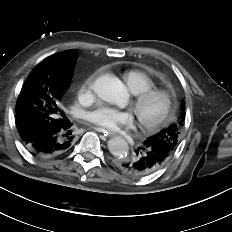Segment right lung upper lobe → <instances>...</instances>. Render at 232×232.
<instances>
[{
    "instance_id": "1",
    "label": "right lung upper lobe",
    "mask_w": 232,
    "mask_h": 232,
    "mask_svg": "<svg viewBox=\"0 0 232 232\" xmlns=\"http://www.w3.org/2000/svg\"><path fill=\"white\" fill-rule=\"evenodd\" d=\"M76 58H77V53L74 50H71V51H67V52H62V53L54 54V55L46 58L40 64L41 65L51 64L53 66H55V65L56 66H60L66 60V61L72 63V67H73V62L76 60ZM72 73H73V68H72Z\"/></svg>"
}]
</instances>
